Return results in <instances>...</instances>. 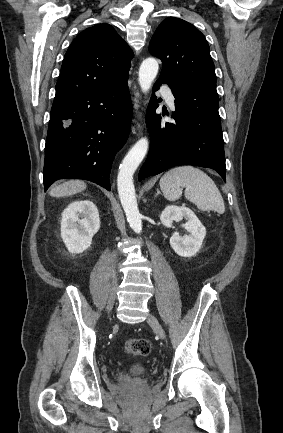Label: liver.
Segmentation results:
<instances>
[{"label": "liver", "mask_w": 283, "mask_h": 433, "mask_svg": "<svg viewBox=\"0 0 283 433\" xmlns=\"http://www.w3.org/2000/svg\"><path fill=\"white\" fill-rule=\"evenodd\" d=\"M86 184L83 180H67L63 184H58L51 188L50 196H70V194H76V192H82L85 190Z\"/></svg>", "instance_id": "6515ba94"}]
</instances>
